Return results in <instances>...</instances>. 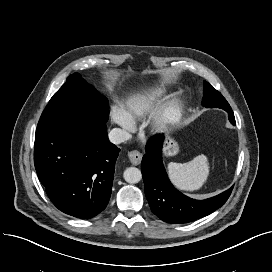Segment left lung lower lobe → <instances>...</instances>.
<instances>
[{"mask_svg": "<svg viewBox=\"0 0 272 272\" xmlns=\"http://www.w3.org/2000/svg\"><path fill=\"white\" fill-rule=\"evenodd\" d=\"M226 112L230 122L235 125L232 109ZM163 140V135H155L148 141L141 164L145 195L151 211L164 222L183 224L220 208L229 198L233 187L206 200H195L179 192L169 181L162 163Z\"/></svg>", "mask_w": 272, "mask_h": 272, "instance_id": "obj_1", "label": "left lung lower lobe"}]
</instances>
